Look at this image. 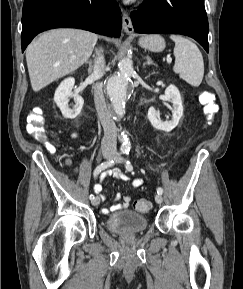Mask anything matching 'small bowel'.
Wrapping results in <instances>:
<instances>
[{
	"mask_svg": "<svg viewBox=\"0 0 243 289\" xmlns=\"http://www.w3.org/2000/svg\"><path fill=\"white\" fill-rule=\"evenodd\" d=\"M78 133H74L72 134V137H78ZM112 177L116 178V179H120V180H123V181H129L130 178L119 168H114L110 171L109 173ZM143 179L142 178H135L133 180H131V186L136 188V187H140L143 185ZM94 191L96 193H100L102 191V185L101 184H96L94 186ZM102 199L104 200L105 197L102 196ZM122 199V203H117V204H114L112 205L110 208H103L102 209V212L104 214H108L110 212H115V211H118V210H121L123 208H126L128 207L130 201H131V197L128 196V195H125V196H121L120 194H117L116 197H115V201H118Z\"/></svg>",
	"mask_w": 243,
	"mask_h": 289,
	"instance_id": "small-bowel-1",
	"label": "small bowel"
}]
</instances>
